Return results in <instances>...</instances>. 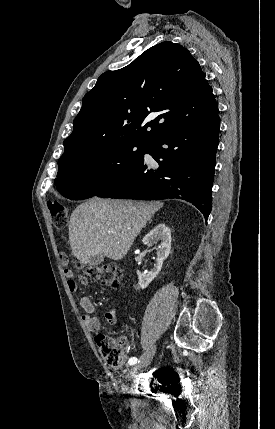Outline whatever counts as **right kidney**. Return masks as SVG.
Segmentation results:
<instances>
[{
    "label": "right kidney",
    "mask_w": 275,
    "mask_h": 429,
    "mask_svg": "<svg viewBox=\"0 0 275 429\" xmlns=\"http://www.w3.org/2000/svg\"><path fill=\"white\" fill-rule=\"evenodd\" d=\"M160 241L157 249V259L154 268L148 273L142 274L137 271L138 285L141 289H145L161 271L164 260L171 252V231L165 224H158L143 238V243L153 245Z\"/></svg>",
    "instance_id": "ca27d5eb"
}]
</instances>
